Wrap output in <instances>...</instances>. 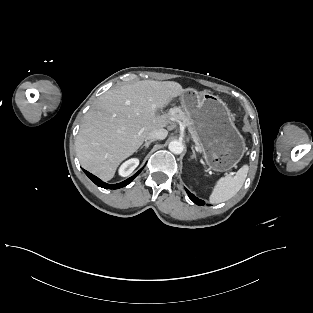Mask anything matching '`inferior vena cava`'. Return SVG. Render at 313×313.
Listing matches in <instances>:
<instances>
[{
  "mask_svg": "<svg viewBox=\"0 0 313 313\" xmlns=\"http://www.w3.org/2000/svg\"><path fill=\"white\" fill-rule=\"evenodd\" d=\"M168 132L165 129H156L151 131L147 136L146 139L147 140H163L166 138Z\"/></svg>",
  "mask_w": 313,
  "mask_h": 313,
  "instance_id": "inferior-vena-cava-1",
  "label": "inferior vena cava"
}]
</instances>
